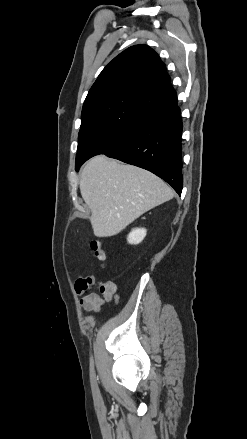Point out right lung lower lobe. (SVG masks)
<instances>
[{
  "label": "right lung lower lobe",
  "mask_w": 247,
  "mask_h": 439,
  "mask_svg": "<svg viewBox=\"0 0 247 439\" xmlns=\"http://www.w3.org/2000/svg\"><path fill=\"white\" fill-rule=\"evenodd\" d=\"M182 121L177 99L159 107L134 132L104 154L156 174L181 195Z\"/></svg>",
  "instance_id": "obj_1"
}]
</instances>
